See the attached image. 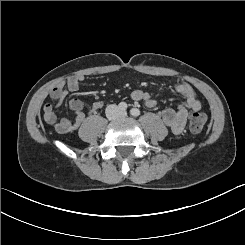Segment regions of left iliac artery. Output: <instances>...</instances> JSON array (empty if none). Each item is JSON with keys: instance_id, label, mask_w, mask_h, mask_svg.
I'll return each mask as SVG.
<instances>
[{"instance_id": "44dca946", "label": "left iliac artery", "mask_w": 245, "mask_h": 245, "mask_svg": "<svg viewBox=\"0 0 245 245\" xmlns=\"http://www.w3.org/2000/svg\"><path fill=\"white\" fill-rule=\"evenodd\" d=\"M130 114H131L132 116H134V117H137V116L140 115V110H139L138 108H132V109L130 110Z\"/></svg>"}]
</instances>
